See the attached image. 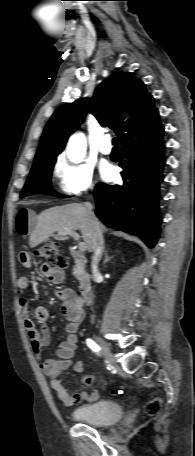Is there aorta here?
Returning <instances> with one entry per match:
<instances>
[{
  "label": "aorta",
  "instance_id": "aorta-1",
  "mask_svg": "<svg viewBox=\"0 0 195 456\" xmlns=\"http://www.w3.org/2000/svg\"><path fill=\"white\" fill-rule=\"evenodd\" d=\"M86 152V137L83 133L73 134L67 144V156L73 163L82 162Z\"/></svg>",
  "mask_w": 195,
  "mask_h": 456
}]
</instances>
